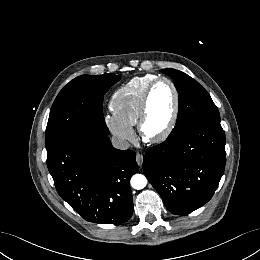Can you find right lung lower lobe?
I'll return each mask as SVG.
<instances>
[{
    "label": "right lung lower lobe",
    "mask_w": 260,
    "mask_h": 260,
    "mask_svg": "<svg viewBox=\"0 0 260 260\" xmlns=\"http://www.w3.org/2000/svg\"><path fill=\"white\" fill-rule=\"evenodd\" d=\"M135 156L115 149L107 135L85 130L47 156V166L59 195L84 219L116 224L133 213L129 181L138 170Z\"/></svg>",
    "instance_id": "98d812e1"
}]
</instances>
